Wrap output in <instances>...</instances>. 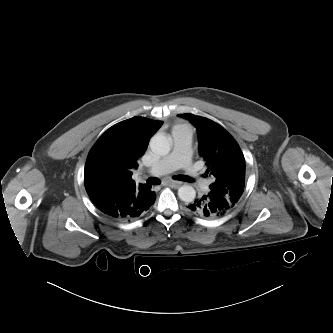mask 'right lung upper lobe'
I'll return each mask as SVG.
<instances>
[{"instance_id":"1","label":"right lung upper lobe","mask_w":333,"mask_h":333,"mask_svg":"<svg viewBox=\"0 0 333 333\" xmlns=\"http://www.w3.org/2000/svg\"><path fill=\"white\" fill-rule=\"evenodd\" d=\"M162 123L136 116L113 125L101 135L88 154L84 170V184L91 200L141 199L151 186L135 185L132 170L138 168L137 160Z\"/></svg>"}]
</instances>
